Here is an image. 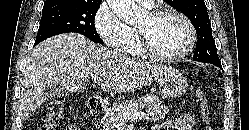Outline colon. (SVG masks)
Masks as SVG:
<instances>
[{"label":"colon","instance_id":"5ec220e1","mask_svg":"<svg viewBox=\"0 0 249 130\" xmlns=\"http://www.w3.org/2000/svg\"><path fill=\"white\" fill-rule=\"evenodd\" d=\"M197 98L201 106L204 120L208 125V130H213L209 126V101L206 93L198 89ZM64 119V99L61 97L53 98L44 105L38 130H61Z\"/></svg>","mask_w":249,"mask_h":130}]
</instances>
